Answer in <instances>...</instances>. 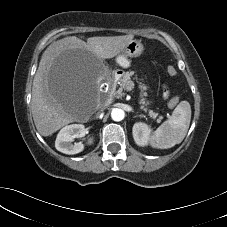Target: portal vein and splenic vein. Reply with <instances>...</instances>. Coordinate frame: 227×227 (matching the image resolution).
I'll list each match as a JSON object with an SVG mask.
<instances>
[{"instance_id": "portal-vein-and-splenic-vein-1", "label": "portal vein and splenic vein", "mask_w": 227, "mask_h": 227, "mask_svg": "<svg viewBox=\"0 0 227 227\" xmlns=\"http://www.w3.org/2000/svg\"><path fill=\"white\" fill-rule=\"evenodd\" d=\"M133 86H134V83L132 82L131 85H130V87L127 88V90H128V91H131L132 88H133Z\"/></svg>"}]
</instances>
